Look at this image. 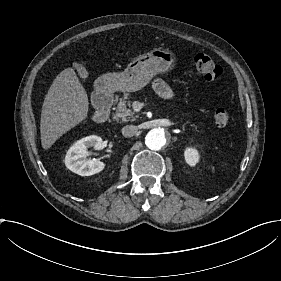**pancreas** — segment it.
Segmentation results:
<instances>
[{
    "mask_svg": "<svg viewBox=\"0 0 281 281\" xmlns=\"http://www.w3.org/2000/svg\"><path fill=\"white\" fill-rule=\"evenodd\" d=\"M126 99H128V94H125L124 97L121 98L117 104L116 112L113 117L116 121L121 120L122 122H128L136 120V117L134 116V111L127 108V106L130 107L131 101H127Z\"/></svg>",
    "mask_w": 281,
    "mask_h": 281,
    "instance_id": "pancreas-1",
    "label": "pancreas"
}]
</instances>
